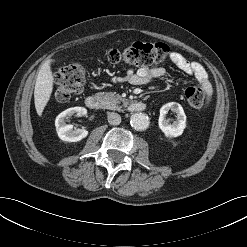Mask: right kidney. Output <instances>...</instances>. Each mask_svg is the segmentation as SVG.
<instances>
[{
  "label": "right kidney",
  "instance_id": "right-kidney-1",
  "mask_svg": "<svg viewBox=\"0 0 247 247\" xmlns=\"http://www.w3.org/2000/svg\"><path fill=\"white\" fill-rule=\"evenodd\" d=\"M85 115L87 110L83 107H72L61 112L55 120L56 131L59 138L67 142H77L88 135V131L84 128L73 130V125L66 124V120L73 114Z\"/></svg>",
  "mask_w": 247,
  "mask_h": 247
}]
</instances>
